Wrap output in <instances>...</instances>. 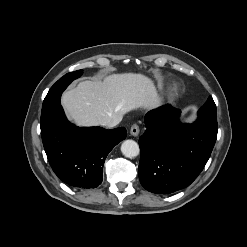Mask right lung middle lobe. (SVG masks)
Listing matches in <instances>:
<instances>
[{"mask_svg": "<svg viewBox=\"0 0 247 247\" xmlns=\"http://www.w3.org/2000/svg\"><path fill=\"white\" fill-rule=\"evenodd\" d=\"M82 75V70L70 72L61 77L49 90L43 101L42 109L60 100L62 92L76 78Z\"/></svg>", "mask_w": 247, "mask_h": 247, "instance_id": "dd1d6c3e", "label": "right lung middle lobe"}]
</instances>
